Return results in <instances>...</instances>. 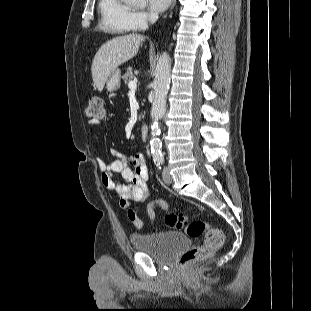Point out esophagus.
<instances>
[{
  "instance_id": "34e87169",
  "label": "esophagus",
  "mask_w": 311,
  "mask_h": 311,
  "mask_svg": "<svg viewBox=\"0 0 311 311\" xmlns=\"http://www.w3.org/2000/svg\"><path fill=\"white\" fill-rule=\"evenodd\" d=\"M175 4H176V0H172V4H171V8L170 9H172Z\"/></svg>"
}]
</instances>
